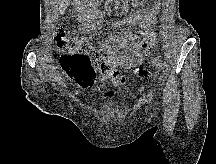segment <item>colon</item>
<instances>
[{"label":"colon","instance_id":"obj_1","mask_svg":"<svg viewBox=\"0 0 216 164\" xmlns=\"http://www.w3.org/2000/svg\"><path fill=\"white\" fill-rule=\"evenodd\" d=\"M55 42L58 48L63 51L60 59V66L63 72L79 85L89 87L94 84L96 78L95 67L101 71L106 70L107 67L100 58L95 59L94 67L90 59L82 54L88 52L91 45L76 34L69 33L63 27H60L56 32ZM138 74L147 76L152 73L139 69Z\"/></svg>","mask_w":216,"mask_h":164}]
</instances>
